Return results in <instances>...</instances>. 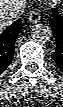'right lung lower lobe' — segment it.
<instances>
[{
  "mask_svg": "<svg viewBox=\"0 0 63 107\" xmlns=\"http://www.w3.org/2000/svg\"><path fill=\"white\" fill-rule=\"evenodd\" d=\"M21 29V19H19L0 34V75L13 59L15 40Z\"/></svg>",
  "mask_w": 63,
  "mask_h": 107,
  "instance_id": "1",
  "label": "right lung lower lobe"
}]
</instances>
